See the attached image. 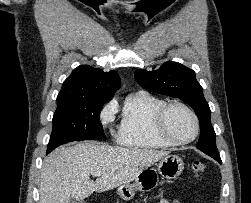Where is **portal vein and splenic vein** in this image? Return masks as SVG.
Masks as SVG:
<instances>
[{"instance_id":"obj_1","label":"portal vein and splenic vein","mask_w":251,"mask_h":203,"mask_svg":"<svg viewBox=\"0 0 251 203\" xmlns=\"http://www.w3.org/2000/svg\"><path fill=\"white\" fill-rule=\"evenodd\" d=\"M92 175H93V176H101L102 173H101V172H95V173H93Z\"/></svg>"}]
</instances>
